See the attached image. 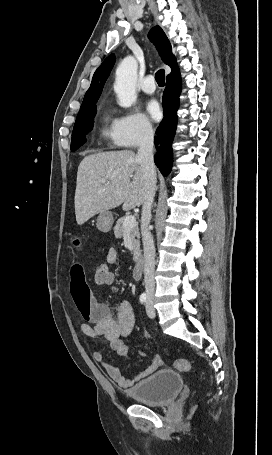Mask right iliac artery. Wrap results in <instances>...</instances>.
<instances>
[{"label":"right iliac artery","instance_id":"1","mask_svg":"<svg viewBox=\"0 0 272 455\" xmlns=\"http://www.w3.org/2000/svg\"><path fill=\"white\" fill-rule=\"evenodd\" d=\"M146 300H147V295H146L145 293H142V294L140 295V302H141L142 304H144V303L146 302Z\"/></svg>","mask_w":272,"mask_h":455}]
</instances>
